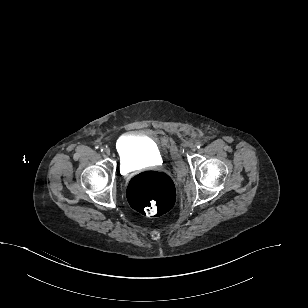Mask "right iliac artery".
I'll list each match as a JSON object with an SVG mask.
<instances>
[{
    "instance_id": "1",
    "label": "right iliac artery",
    "mask_w": 308,
    "mask_h": 308,
    "mask_svg": "<svg viewBox=\"0 0 308 308\" xmlns=\"http://www.w3.org/2000/svg\"><path fill=\"white\" fill-rule=\"evenodd\" d=\"M96 148H98V147H96ZM100 151H101V152L103 151V148H102V147H100Z\"/></svg>"
}]
</instances>
